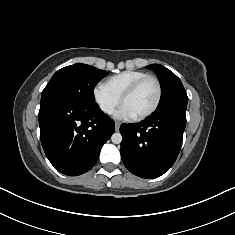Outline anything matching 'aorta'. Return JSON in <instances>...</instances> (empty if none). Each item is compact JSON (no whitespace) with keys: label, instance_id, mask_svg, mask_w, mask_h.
Segmentation results:
<instances>
[{"label":"aorta","instance_id":"1","mask_svg":"<svg viewBox=\"0 0 235 235\" xmlns=\"http://www.w3.org/2000/svg\"><path fill=\"white\" fill-rule=\"evenodd\" d=\"M111 141L114 143V144H119L121 143L122 141V135L120 133H114L112 136H111Z\"/></svg>","mask_w":235,"mask_h":235}]
</instances>
